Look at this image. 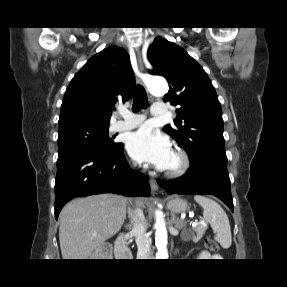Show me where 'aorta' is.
<instances>
[{
  "mask_svg": "<svg viewBox=\"0 0 287 287\" xmlns=\"http://www.w3.org/2000/svg\"><path fill=\"white\" fill-rule=\"evenodd\" d=\"M149 89L153 93L165 94L168 91V84L164 79H156L149 85ZM155 220V244L158 250L156 259H168L167 229L161 211L155 212Z\"/></svg>",
  "mask_w": 287,
  "mask_h": 287,
  "instance_id": "762f6f07",
  "label": "aorta"
}]
</instances>
